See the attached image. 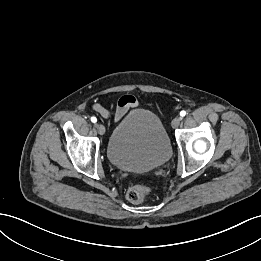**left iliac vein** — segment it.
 <instances>
[{
	"label": "left iliac vein",
	"mask_w": 261,
	"mask_h": 261,
	"mask_svg": "<svg viewBox=\"0 0 261 261\" xmlns=\"http://www.w3.org/2000/svg\"><path fill=\"white\" fill-rule=\"evenodd\" d=\"M180 123H181V118L176 117L172 120L171 125H172L173 128H177V127H179Z\"/></svg>",
	"instance_id": "left-iliac-vein-1"
}]
</instances>
